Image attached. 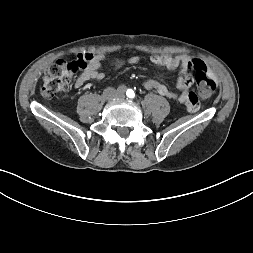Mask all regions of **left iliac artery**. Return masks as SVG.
Returning <instances> with one entry per match:
<instances>
[{"instance_id":"1","label":"left iliac artery","mask_w":253,"mask_h":253,"mask_svg":"<svg viewBox=\"0 0 253 253\" xmlns=\"http://www.w3.org/2000/svg\"><path fill=\"white\" fill-rule=\"evenodd\" d=\"M126 95L129 97V98H134L135 97V93L132 89H128L127 92H126Z\"/></svg>"}]
</instances>
